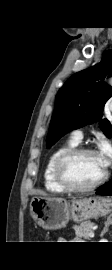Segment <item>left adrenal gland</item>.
Returning <instances> with one entry per match:
<instances>
[{"instance_id": "left-adrenal-gland-1", "label": "left adrenal gland", "mask_w": 112, "mask_h": 270, "mask_svg": "<svg viewBox=\"0 0 112 270\" xmlns=\"http://www.w3.org/2000/svg\"><path fill=\"white\" fill-rule=\"evenodd\" d=\"M112 224V214H110L108 217H107V220L105 221V224H104V228L101 232V237H103V235L108 231L109 229V226Z\"/></svg>"}]
</instances>
